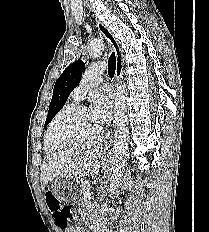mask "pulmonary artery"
I'll return each mask as SVG.
<instances>
[{
	"instance_id": "pulmonary-artery-1",
	"label": "pulmonary artery",
	"mask_w": 209,
	"mask_h": 232,
	"mask_svg": "<svg viewBox=\"0 0 209 232\" xmlns=\"http://www.w3.org/2000/svg\"><path fill=\"white\" fill-rule=\"evenodd\" d=\"M106 70L105 62H97L90 65L82 75L79 85L73 90L72 98L79 100L92 87L102 81V74Z\"/></svg>"
}]
</instances>
